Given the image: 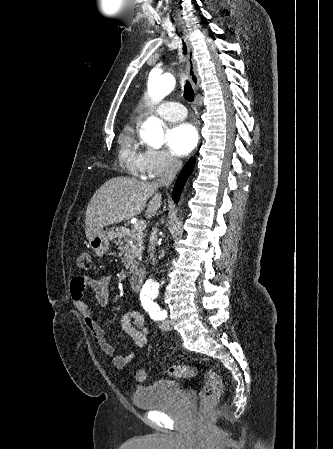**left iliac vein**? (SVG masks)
<instances>
[{
	"instance_id": "left-iliac-vein-1",
	"label": "left iliac vein",
	"mask_w": 333,
	"mask_h": 449,
	"mask_svg": "<svg viewBox=\"0 0 333 449\" xmlns=\"http://www.w3.org/2000/svg\"><path fill=\"white\" fill-rule=\"evenodd\" d=\"M160 328H161L163 331H168V330H170V324H169V321H168V320H163V321L160 323Z\"/></svg>"
}]
</instances>
